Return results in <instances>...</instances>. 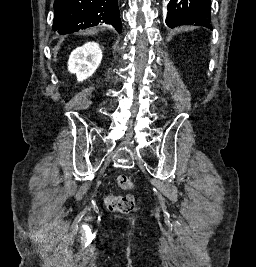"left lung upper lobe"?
I'll use <instances>...</instances> for the list:
<instances>
[{
    "mask_svg": "<svg viewBox=\"0 0 256 267\" xmlns=\"http://www.w3.org/2000/svg\"><path fill=\"white\" fill-rule=\"evenodd\" d=\"M210 8L211 0H171L166 23L170 17L172 22L180 21L184 25L203 26L212 30Z\"/></svg>",
    "mask_w": 256,
    "mask_h": 267,
    "instance_id": "5c2ea615",
    "label": "left lung upper lobe"
}]
</instances>
